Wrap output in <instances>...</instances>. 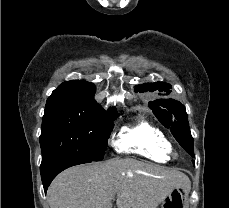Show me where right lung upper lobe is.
<instances>
[{
	"mask_svg": "<svg viewBox=\"0 0 229 208\" xmlns=\"http://www.w3.org/2000/svg\"><path fill=\"white\" fill-rule=\"evenodd\" d=\"M95 85L86 81L72 80L62 83L47 99L46 106L62 105L78 109L92 117L111 121L119 114L114 108L108 111L94 100Z\"/></svg>",
	"mask_w": 229,
	"mask_h": 208,
	"instance_id": "obj_1",
	"label": "right lung upper lobe"
}]
</instances>
